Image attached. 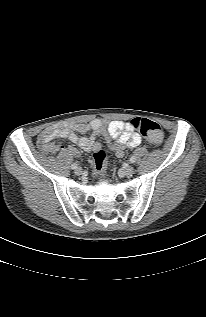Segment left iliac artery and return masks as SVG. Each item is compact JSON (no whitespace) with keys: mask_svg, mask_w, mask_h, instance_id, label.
Masks as SVG:
<instances>
[{"mask_svg":"<svg viewBox=\"0 0 206 317\" xmlns=\"http://www.w3.org/2000/svg\"><path fill=\"white\" fill-rule=\"evenodd\" d=\"M136 161V157L134 156V155H132L131 157H130V162L131 163H134Z\"/></svg>","mask_w":206,"mask_h":317,"instance_id":"obj_1","label":"left iliac artery"}]
</instances>
